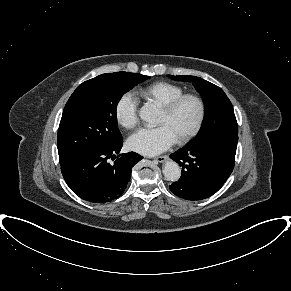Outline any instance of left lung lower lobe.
<instances>
[{
	"mask_svg": "<svg viewBox=\"0 0 291 291\" xmlns=\"http://www.w3.org/2000/svg\"><path fill=\"white\" fill-rule=\"evenodd\" d=\"M238 142L237 133H218L199 143H188L170 155L182 166L181 177L170 190L187 200L215 194L232 173Z\"/></svg>",
	"mask_w": 291,
	"mask_h": 291,
	"instance_id": "left-lung-lower-lobe-1",
	"label": "left lung lower lobe"
}]
</instances>
